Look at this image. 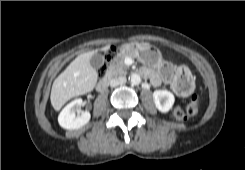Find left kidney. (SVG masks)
<instances>
[{
	"label": "left kidney",
	"mask_w": 245,
	"mask_h": 170,
	"mask_svg": "<svg viewBox=\"0 0 245 170\" xmlns=\"http://www.w3.org/2000/svg\"><path fill=\"white\" fill-rule=\"evenodd\" d=\"M153 99L156 108L162 113L169 112L175 101L173 93L168 90H155Z\"/></svg>",
	"instance_id": "1"
}]
</instances>
